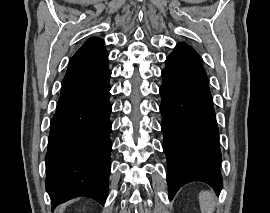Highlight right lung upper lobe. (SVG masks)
Returning a JSON list of instances; mask_svg holds the SVG:
<instances>
[{"label": "right lung upper lobe", "instance_id": "1", "mask_svg": "<svg viewBox=\"0 0 270 213\" xmlns=\"http://www.w3.org/2000/svg\"><path fill=\"white\" fill-rule=\"evenodd\" d=\"M108 69V53L104 41L90 38L74 54L62 84L97 75Z\"/></svg>", "mask_w": 270, "mask_h": 213}]
</instances>
